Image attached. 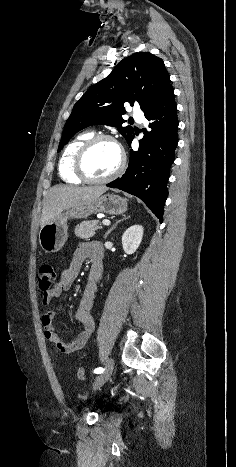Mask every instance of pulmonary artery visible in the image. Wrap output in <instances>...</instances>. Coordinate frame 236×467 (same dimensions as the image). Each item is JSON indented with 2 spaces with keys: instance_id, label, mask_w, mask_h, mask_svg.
<instances>
[{
  "instance_id": "obj_1",
  "label": "pulmonary artery",
  "mask_w": 236,
  "mask_h": 467,
  "mask_svg": "<svg viewBox=\"0 0 236 467\" xmlns=\"http://www.w3.org/2000/svg\"><path fill=\"white\" fill-rule=\"evenodd\" d=\"M133 117L140 122L144 121V114L139 107L134 108Z\"/></svg>"
}]
</instances>
